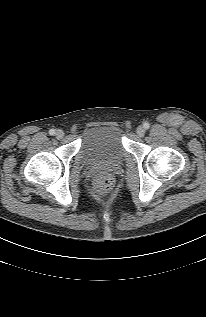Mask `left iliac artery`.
Listing matches in <instances>:
<instances>
[{"label":"left iliac artery","instance_id":"1","mask_svg":"<svg viewBox=\"0 0 206 317\" xmlns=\"http://www.w3.org/2000/svg\"><path fill=\"white\" fill-rule=\"evenodd\" d=\"M143 126H144L145 129H148L150 127V124L146 122V123H144Z\"/></svg>","mask_w":206,"mask_h":317}]
</instances>
